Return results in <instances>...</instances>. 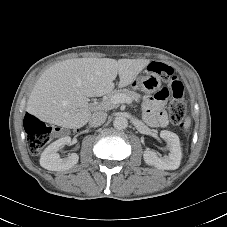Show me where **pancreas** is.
Returning <instances> with one entry per match:
<instances>
[{
  "mask_svg": "<svg viewBox=\"0 0 227 227\" xmlns=\"http://www.w3.org/2000/svg\"><path fill=\"white\" fill-rule=\"evenodd\" d=\"M120 94L121 95H125L126 97H129L131 100H135L137 102L141 98V96L138 93H136L134 91H131V90H128V89L115 90V91L107 94L104 97V99H103V101H102V103L100 105V109L107 111V110H111V109L115 108L116 104L112 103V98L115 95H120Z\"/></svg>",
  "mask_w": 227,
  "mask_h": 227,
  "instance_id": "cf45deb5",
  "label": "pancreas"
}]
</instances>
